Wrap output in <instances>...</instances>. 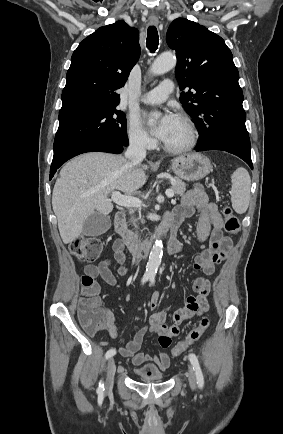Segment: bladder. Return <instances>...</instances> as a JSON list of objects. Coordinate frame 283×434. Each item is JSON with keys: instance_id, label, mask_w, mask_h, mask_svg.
Returning <instances> with one entry per match:
<instances>
[{"instance_id": "1", "label": "bladder", "mask_w": 283, "mask_h": 434, "mask_svg": "<svg viewBox=\"0 0 283 434\" xmlns=\"http://www.w3.org/2000/svg\"><path fill=\"white\" fill-rule=\"evenodd\" d=\"M134 374L144 382H158L164 379V374L153 364H147L135 369Z\"/></svg>"}]
</instances>
